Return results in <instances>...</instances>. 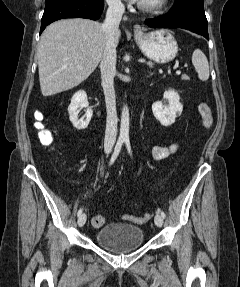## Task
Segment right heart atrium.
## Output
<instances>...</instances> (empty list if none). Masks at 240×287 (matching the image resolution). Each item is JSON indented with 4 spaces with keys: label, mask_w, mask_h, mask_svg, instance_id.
<instances>
[{
    "label": "right heart atrium",
    "mask_w": 240,
    "mask_h": 287,
    "mask_svg": "<svg viewBox=\"0 0 240 287\" xmlns=\"http://www.w3.org/2000/svg\"><path fill=\"white\" fill-rule=\"evenodd\" d=\"M106 2L112 8H119L122 5L121 0H106Z\"/></svg>",
    "instance_id": "1"
}]
</instances>
